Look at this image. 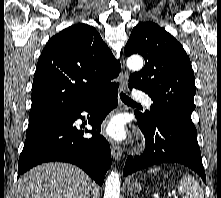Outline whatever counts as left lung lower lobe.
I'll use <instances>...</instances> for the list:
<instances>
[{"mask_svg":"<svg viewBox=\"0 0 221 198\" xmlns=\"http://www.w3.org/2000/svg\"><path fill=\"white\" fill-rule=\"evenodd\" d=\"M135 116L146 138V151L127 158L123 170L125 176L156 164L179 163L194 170L206 183L196 130L164 119L148 120L140 113Z\"/></svg>","mask_w":221,"mask_h":198,"instance_id":"0a47b994","label":"left lung lower lobe"}]
</instances>
